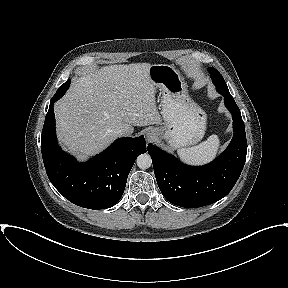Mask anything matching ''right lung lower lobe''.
<instances>
[{
	"instance_id": "right-lung-lower-lobe-1",
	"label": "right lung lower lobe",
	"mask_w": 288,
	"mask_h": 288,
	"mask_svg": "<svg viewBox=\"0 0 288 288\" xmlns=\"http://www.w3.org/2000/svg\"><path fill=\"white\" fill-rule=\"evenodd\" d=\"M52 98L41 136L45 169L54 187L70 202L88 209H106L122 197L136 158L146 152L143 136L120 138L86 163L63 152L57 145Z\"/></svg>"
}]
</instances>
